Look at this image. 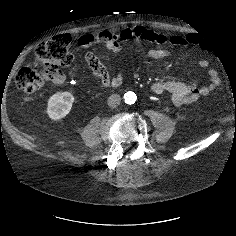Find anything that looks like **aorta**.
<instances>
[{
	"label": "aorta",
	"mask_w": 236,
	"mask_h": 236,
	"mask_svg": "<svg viewBox=\"0 0 236 236\" xmlns=\"http://www.w3.org/2000/svg\"><path fill=\"white\" fill-rule=\"evenodd\" d=\"M137 99V96L134 92L128 91L124 94V101L127 104H134Z\"/></svg>",
	"instance_id": "aorta-1"
}]
</instances>
